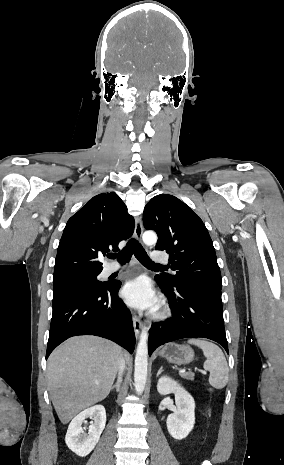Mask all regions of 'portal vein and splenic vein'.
Returning a JSON list of instances; mask_svg holds the SVG:
<instances>
[{"mask_svg":"<svg viewBox=\"0 0 284 465\" xmlns=\"http://www.w3.org/2000/svg\"><path fill=\"white\" fill-rule=\"evenodd\" d=\"M198 371H200V369H198ZM179 373H185L184 369L183 371H179ZM200 373H203V375H207L206 371H200Z\"/></svg>","mask_w":284,"mask_h":465,"instance_id":"portal-vein-and-splenic-vein-1","label":"portal vein and splenic vein"}]
</instances>
